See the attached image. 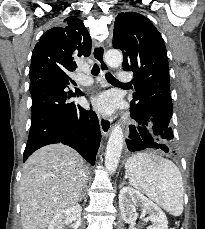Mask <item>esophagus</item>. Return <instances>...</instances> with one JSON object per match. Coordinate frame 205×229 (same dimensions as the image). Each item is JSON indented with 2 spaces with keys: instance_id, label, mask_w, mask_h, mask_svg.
<instances>
[{
  "instance_id": "1",
  "label": "esophagus",
  "mask_w": 205,
  "mask_h": 229,
  "mask_svg": "<svg viewBox=\"0 0 205 229\" xmlns=\"http://www.w3.org/2000/svg\"><path fill=\"white\" fill-rule=\"evenodd\" d=\"M104 55H105V47L100 43H95L92 49V56L99 64L100 78L102 82H104L105 74L109 70ZM99 124H100L102 135L107 137L111 131V119L104 115H99Z\"/></svg>"
}]
</instances>
